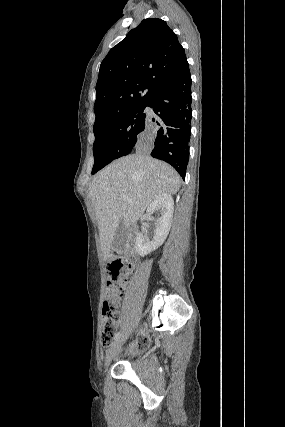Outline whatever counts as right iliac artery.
<instances>
[{
	"mask_svg": "<svg viewBox=\"0 0 285 427\" xmlns=\"http://www.w3.org/2000/svg\"><path fill=\"white\" fill-rule=\"evenodd\" d=\"M121 336V332L117 333L114 340H117Z\"/></svg>",
	"mask_w": 285,
	"mask_h": 427,
	"instance_id": "obj_1",
	"label": "right iliac artery"
}]
</instances>
